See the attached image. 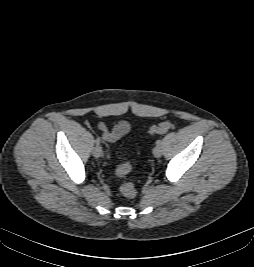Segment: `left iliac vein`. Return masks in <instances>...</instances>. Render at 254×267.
Returning <instances> with one entry per match:
<instances>
[{
    "mask_svg": "<svg viewBox=\"0 0 254 267\" xmlns=\"http://www.w3.org/2000/svg\"><path fill=\"white\" fill-rule=\"evenodd\" d=\"M153 154L156 158H159L162 155V147L160 145H156L153 149Z\"/></svg>",
    "mask_w": 254,
    "mask_h": 267,
    "instance_id": "obj_1",
    "label": "left iliac vein"
}]
</instances>
